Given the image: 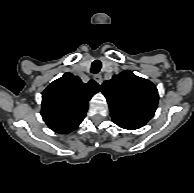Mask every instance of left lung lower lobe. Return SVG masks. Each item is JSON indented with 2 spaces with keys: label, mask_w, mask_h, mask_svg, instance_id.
Instances as JSON below:
<instances>
[{
  "label": "left lung lower lobe",
  "mask_w": 194,
  "mask_h": 193,
  "mask_svg": "<svg viewBox=\"0 0 194 193\" xmlns=\"http://www.w3.org/2000/svg\"><path fill=\"white\" fill-rule=\"evenodd\" d=\"M118 126H120L121 128L124 129H129V130H134V129H138L140 127H136L130 124H126V123H122V122H115Z\"/></svg>",
  "instance_id": "left-lung-lower-lobe-1"
}]
</instances>
